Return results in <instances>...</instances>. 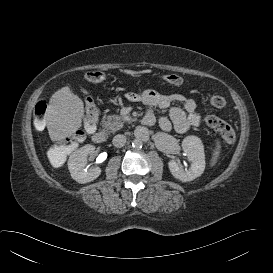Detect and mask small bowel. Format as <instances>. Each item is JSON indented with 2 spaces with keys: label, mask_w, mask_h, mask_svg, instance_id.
<instances>
[{
  "label": "small bowel",
  "mask_w": 273,
  "mask_h": 273,
  "mask_svg": "<svg viewBox=\"0 0 273 273\" xmlns=\"http://www.w3.org/2000/svg\"><path fill=\"white\" fill-rule=\"evenodd\" d=\"M128 99L142 102L147 108L146 115H152V108H169V118L160 117L158 120L160 128L165 132L175 130L179 133L186 132L193 126H198L201 118L197 113V104L191 99L180 94L166 95L154 90H146L140 94H128ZM177 101L183 104V108L172 106ZM155 121V117H154Z\"/></svg>",
  "instance_id": "1"
}]
</instances>
